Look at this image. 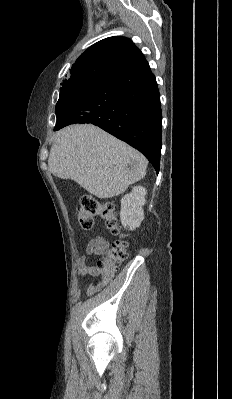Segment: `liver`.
<instances>
[{
    "instance_id": "obj_1",
    "label": "liver",
    "mask_w": 232,
    "mask_h": 399,
    "mask_svg": "<svg viewBox=\"0 0 232 399\" xmlns=\"http://www.w3.org/2000/svg\"><path fill=\"white\" fill-rule=\"evenodd\" d=\"M147 166L140 152L92 124L56 132L48 158L53 176L73 180L97 198L123 194L145 178Z\"/></svg>"
}]
</instances>
